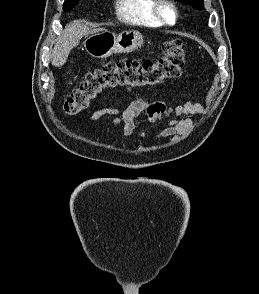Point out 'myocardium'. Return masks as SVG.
Here are the masks:
<instances>
[{
    "label": "myocardium",
    "mask_w": 259,
    "mask_h": 294,
    "mask_svg": "<svg viewBox=\"0 0 259 294\" xmlns=\"http://www.w3.org/2000/svg\"><path fill=\"white\" fill-rule=\"evenodd\" d=\"M166 11H169L172 14V21L167 19L165 14ZM152 13L161 25L171 26L178 21V10L170 0H154Z\"/></svg>",
    "instance_id": "obj_1"
}]
</instances>
